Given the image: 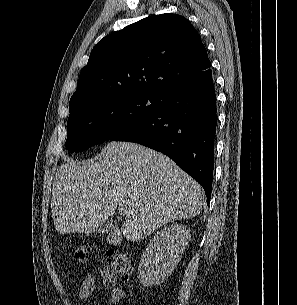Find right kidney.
<instances>
[{
  "label": "right kidney",
  "mask_w": 297,
  "mask_h": 305,
  "mask_svg": "<svg viewBox=\"0 0 297 305\" xmlns=\"http://www.w3.org/2000/svg\"><path fill=\"white\" fill-rule=\"evenodd\" d=\"M190 238V229L182 224H174L158 231L141 256L139 282L144 287L163 283L181 260Z\"/></svg>",
  "instance_id": "ca27d5eb"
}]
</instances>
